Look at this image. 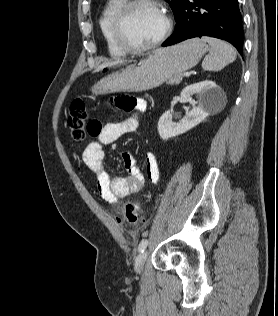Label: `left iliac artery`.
<instances>
[{
    "label": "left iliac artery",
    "instance_id": "obj_1",
    "mask_svg": "<svg viewBox=\"0 0 278 316\" xmlns=\"http://www.w3.org/2000/svg\"><path fill=\"white\" fill-rule=\"evenodd\" d=\"M147 245H148V240L147 239H143L140 242L139 247H138L139 252H144V250L147 247Z\"/></svg>",
    "mask_w": 278,
    "mask_h": 316
}]
</instances>
